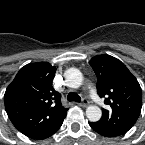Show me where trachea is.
<instances>
[{"mask_svg":"<svg viewBox=\"0 0 145 145\" xmlns=\"http://www.w3.org/2000/svg\"><path fill=\"white\" fill-rule=\"evenodd\" d=\"M68 101H75V102H81V98L78 94L70 92L67 96Z\"/></svg>","mask_w":145,"mask_h":145,"instance_id":"3493384b","label":"trachea"}]
</instances>
